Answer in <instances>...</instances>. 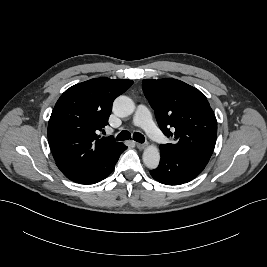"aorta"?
Returning <instances> with one entry per match:
<instances>
[{
  "mask_svg": "<svg viewBox=\"0 0 267 267\" xmlns=\"http://www.w3.org/2000/svg\"><path fill=\"white\" fill-rule=\"evenodd\" d=\"M135 110L133 100L127 96H118L113 103V111L119 117H127ZM143 162L149 169H156L160 162L159 149L154 146H148L143 152Z\"/></svg>",
  "mask_w": 267,
  "mask_h": 267,
  "instance_id": "762f6f07",
  "label": "aorta"
}]
</instances>
